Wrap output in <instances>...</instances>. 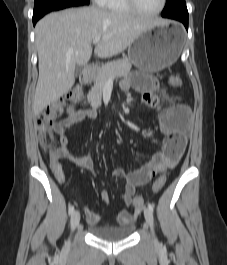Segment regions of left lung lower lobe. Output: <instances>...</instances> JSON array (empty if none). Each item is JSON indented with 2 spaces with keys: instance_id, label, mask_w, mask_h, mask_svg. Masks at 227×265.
Wrapping results in <instances>:
<instances>
[{
  "instance_id": "obj_1",
  "label": "left lung lower lobe",
  "mask_w": 227,
  "mask_h": 265,
  "mask_svg": "<svg viewBox=\"0 0 227 265\" xmlns=\"http://www.w3.org/2000/svg\"><path fill=\"white\" fill-rule=\"evenodd\" d=\"M172 19H176L182 22L185 25L186 29L188 30V18H172Z\"/></svg>"
}]
</instances>
